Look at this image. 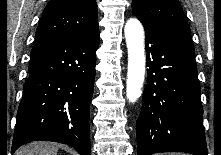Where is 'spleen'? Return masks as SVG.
<instances>
[{
	"label": "spleen",
	"instance_id": "3e777b00",
	"mask_svg": "<svg viewBox=\"0 0 221 155\" xmlns=\"http://www.w3.org/2000/svg\"><path fill=\"white\" fill-rule=\"evenodd\" d=\"M176 155H184V154H176Z\"/></svg>",
	"mask_w": 221,
	"mask_h": 155
}]
</instances>
